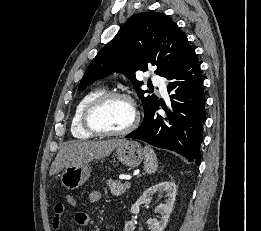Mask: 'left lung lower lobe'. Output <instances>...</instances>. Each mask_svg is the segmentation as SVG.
Wrapping results in <instances>:
<instances>
[{"label": "left lung lower lobe", "mask_w": 261, "mask_h": 231, "mask_svg": "<svg viewBox=\"0 0 261 231\" xmlns=\"http://www.w3.org/2000/svg\"><path fill=\"white\" fill-rule=\"evenodd\" d=\"M167 86L171 110L158 101L144 112L142 124L127 138L145 141L153 146L175 151L200 165L201 143L206 120L203 78L196 55L181 69L169 75ZM162 106L166 116L156 113Z\"/></svg>", "instance_id": "left-lung-lower-lobe-1"}]
</instances>
